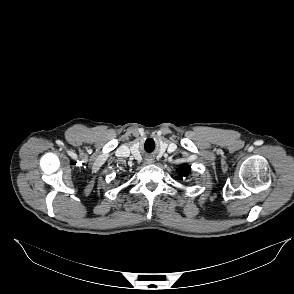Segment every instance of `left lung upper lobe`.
<instances>
[{
	"mask_svg": "<svg viewBox=\"0 0 294 294\" xmlns=\"http://www.w3.org/2000/svg\"><path fill=\"white\" fill-rule=\"evenodd\" d=\"M178 170H179V175H181V177H186L190 174V168L187 165L181 166Z\"/></svg>",
	"mask_w": 294,
	"mask_h": 294,
	"instance_id": "5c2ea615",
	"label": "left lung upper lobe"
}]
</instances>
